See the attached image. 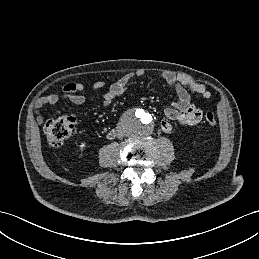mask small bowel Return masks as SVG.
Wrapping results in <instances>:
<instances>
[{
	"label": "small bowel",
	"instance_id": "c3829d8e",
	"mask_svg": "<svg viewBox=\"0 0 259 259\" xmlns=\"http://www.w3.org/2000/svg\"><path fill=\"white\" fill-rule=\"evenodd\" d=\"M135 74L137 76H143L145 71L141 69ZM135 74H125L116 82L112 83L109 89L103 94V103L109 105L115 98L122 95ZM158 75L168 83L176 97V100L172 102L171 107L166 108L164 111L165 119L162 120L160 124L161 130L165 133H170L173 129L171 123L173 121L185 126L197 125L202 120L203 112L191 102L188 90L204 99H208L210 98L211 93L206 85L197 82L192 77L185 74L164 71L158 73ZM104 86V81H97L93 85V90H100ZM83 89L84 87L81 83H67L62 87L60 94H49L41 97L36 103V108L38 109L45 105H54L61 99L68 100L77 105L83 104L86 101V96L82 93ZM37 120L39 122L42 120L41 116L38 114Z\"/></svg>",
	"mask_w": 259,
	"mask_h": 259
}]
</instances>
